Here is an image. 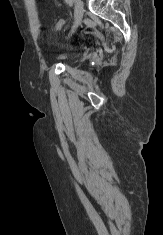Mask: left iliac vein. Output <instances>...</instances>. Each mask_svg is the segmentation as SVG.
I'll use <instances>...</instances> for the list:
<instances>
[{
    "mask_svg": "<svg viewBox=\"0 0 163 235\" xmlns=\"http://www.w3.org/2000/svg\"><path fill=\"white\" fill-rule=\"evenodd\" d=\"M74 11H75V19L71 33H73L82 22L84 7H83V2L81 0H75Z\"/></svg>",
    "mask_w": 163,
    "mask_h": 235,
    "instance_id": "left-iliac-vein-1",
    "label": "left iliac vein"
}]
</instances>
